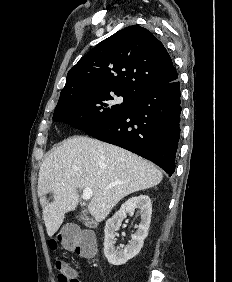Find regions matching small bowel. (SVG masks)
<instances>
[{
  "label": "small bowel",
  "instance_id": "c3829d8e",
  "mask_svg": "<svg viewBox=\"0 0 232 282\" xmlns=\"http://www.w3.org/2000/svg\"><path fill=\"white\" fill-rule=\"evenodd\" d=\"M72 274L75 276V277H77V272L74 270V269H72ZM78 278V277H77ZM79 280V282H83V281H81L80 279H78Z\"/></svg>",
  "mask_w": 232,
  "mask_h": 282
}]
</instances>
